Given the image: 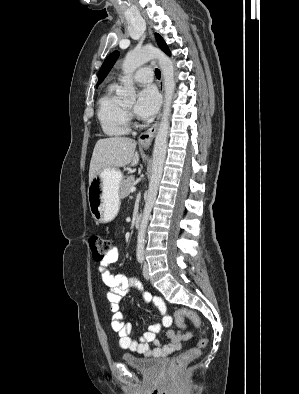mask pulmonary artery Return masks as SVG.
<instances>
[{"mask_svg":"<svg viewBox=\"0 0 299 394\" xmlns=\"http://www.w3.org/2000/svg\"><path fill=\"white\" fill-rule=\"evenodd\" d=\"M134 80L137 83H149L153 80V71L150 67H143L139 69L135 75Z\"/></svg>","mask_w":299,"mask_h":394,"instance_id":"pulmonary-artery-1","label":"pulmonary artery"}]
</instances>
